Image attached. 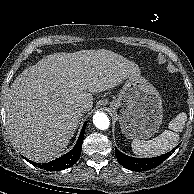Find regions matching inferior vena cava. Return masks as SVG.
I'll return each mask as SVG.
<instances>
[{"label":"inferior vena cava","instance_id":"obj_1","mask_svg":"<svg viewBox=\"0 0 194 194\" xmlns=\"http://www.w3.org/2000/svg\"><path fill=\"white\" fill-rule=\"evenodd\" d=\"M77 109H78L79 112H84L85 107H84V105H78Z\"/></svg>","mask_w":194,"mask_h":194}]
</instances>
